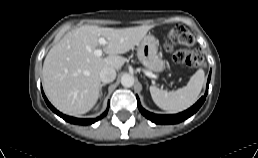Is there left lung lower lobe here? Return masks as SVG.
I'll use <instances>...</instances> for the list:
<instances>
[{
    "label": "left lung lower lobe",
    "mask_w": 258,
    "mask_h": 158,
    "mask_svg": "<svg viewBox=\"0 0 258 158\" xmlns=\"http://www.w3.org/2000/svg\"><path fill=\"white\" fill-rule=\"evenodd\" d=\"M210 77H211V71L208 77V81H207V89H206V93L204 96H202L198 102H196V104H194L191 108H189L188 110L181 112L179 114H174V115H160V114H153L151 112H148L147 110H145L144 108H142L139 98L137 96V101H138V108L140 110V112L150 121L156 123V124H176V123H180L183 120L190 118L194 113H196L199 108L202 106V104L205 101V97L208 93V88H209V82H210Z\"/></svg>",
    "instance_id": "0a47b994"
}]
</instances>
